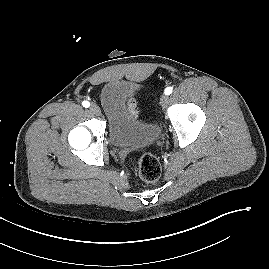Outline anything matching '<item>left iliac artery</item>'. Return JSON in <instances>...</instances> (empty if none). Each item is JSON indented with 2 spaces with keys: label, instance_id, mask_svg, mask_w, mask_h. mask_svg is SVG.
I'll list each match as a JSON object with an SVG mask.
<instances>
[{
  "label": "left iliac artery",
  "instance_id": "1",
  "mask_svg": "<svg viewBox=\"0 0 269 269\" xmlns=\"http://www.w3.org/2000/svg\"><path fill=\"white\" fill-rule=\"evenodd\" d=\"M172 91H173V88H172V87H167V88L165 89V94H166V95H170V94L172 93Z\"/></svg>",
  "mask_w": 269,
  "mask_h": 269
}]
</instances>
